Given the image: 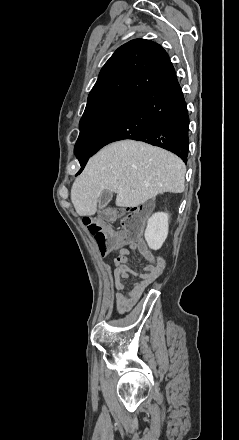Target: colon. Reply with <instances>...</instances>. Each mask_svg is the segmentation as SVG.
Returning <instances> with one entry per match:
<instances>
[{"mask_svg": "<svg viewBox=\"0 0 239 440\" xmlns=\"http://www.w3.org/2000/svg\"><path fill=\"white\" fill-rule=\"evenodd\" d=\"M140 208L127 209L120 212L108 211L103 217H85L84 225L94 237L102 255L119 250L124 244L136 241L141 233V220L135 212ZM121 219L122 227L114 231L106 224V220Z\"/></svg>", "mask_w": 239, "mask_h": 440, "instance_id": "5ec220e1", "label": "colon"}]
</instances>
